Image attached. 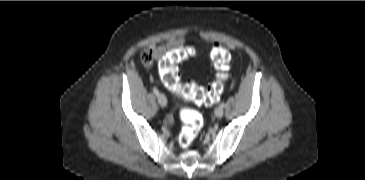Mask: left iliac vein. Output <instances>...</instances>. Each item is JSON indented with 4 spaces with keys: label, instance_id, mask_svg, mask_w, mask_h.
Wrapping results in <instances>:
<instances>
[{
    "label": "left iliac vein",
    "instance_id": "left-iliac-vein-1",
    "mask_svg": "<svg viewBox=\"0 0 365 180\" xmlns=\"http://www.w3.org/2000/svg\"><path fill=\"white\" fill-rule=\"evenodd\" d=\"M223 113H224V111H223V108L222 107H217L216 109H215V111H214V114H215V116L217 117V118H221L222 116H223Z\"/></svg>",
    "mask_w": 365,
    "mask_h": 180
}]
</instances>
